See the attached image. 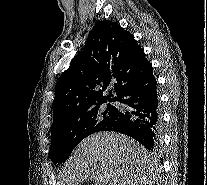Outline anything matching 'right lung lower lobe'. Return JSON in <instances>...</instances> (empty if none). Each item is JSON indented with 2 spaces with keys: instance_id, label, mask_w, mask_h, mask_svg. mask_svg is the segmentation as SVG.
Masks as SVG:
<instances>
[{
  "instance_id": "obj_1",
  "label": "right lung lower lobe",
  "mask_w": 207,
  "mask_h": 185,
  "mask_svg": "<svg viewBox=\"0 0 207 185\" xmlns=\"http://www.w3.org/2000/svg\"><path fill=\"white\" fill-rule=\"evenodd\" d=\"M115 101L125 104L128 109H117V119L101 131L120 132L148 150L155 149L160 140L161 114L153 73L125 84Z\"/></svg>"
}]
</instances>
